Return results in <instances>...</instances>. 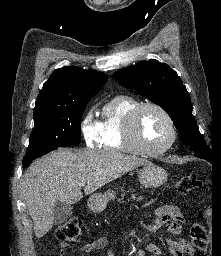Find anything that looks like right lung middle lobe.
I'll use <instances>...</instances> for the list:
<instances>
[{
    "instance_id": "dd1d6c3e",
    "label": "right lung middle lobe",
    "mask_w": 221,
    "mask_h": 256,
    "mask_svg": "<svg viewBox=\"0 0 221 256\" xmlns=\"http://www.w3.org/2000/svg\"><path fill=\"white\" fill-rule=\"evenodd\" d=\"M90 99L74 107L34 111V129L23 159L26 167L34 158L64 145H78L81 138V117Z\"/></svg>"
}]
</instances>
